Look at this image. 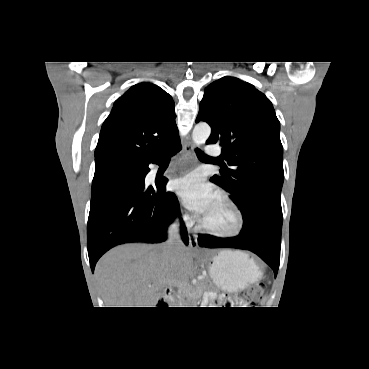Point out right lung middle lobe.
I'll return each instance as SVG.
<instances>
[{
    "label": "right lung middle lobe",
    "instance_id": "right-lung-middle-lobe-1",
    "mask_svg": "<svg viewBox=\"0 0 369 369\" xmlns=\"http://www.w3.org/2000/svg\"><path fill=\"white\" fill-rule=\"evenodd\" d=\"M131 162H107L95 165V174L92 182V188L96 187L103 180L115 172L127 167Z\"/></svg>",
    "mask_w": 369,
    "mask_h": 369
}]
</instances>
